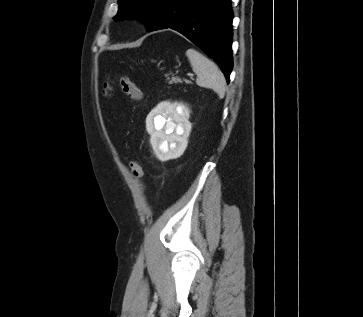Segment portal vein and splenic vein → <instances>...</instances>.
<instances>
[{
  "instance_id": "obj_1",
  "label": "portal vein and splenic vein",
  "mask_w": 363,
  "mask_h": 317,
  "mask_svg": "<svg viewBox=\"0 0 363 317\" xmlns=\"http://www.w3.org/2000/svg\"><path fill=\"white\" fill-rule=\"evenodd\" d=\"M188 76L192 79L193 78V76H194V74H188Z\"/></svg>"
}]
</instances>
